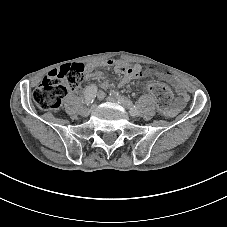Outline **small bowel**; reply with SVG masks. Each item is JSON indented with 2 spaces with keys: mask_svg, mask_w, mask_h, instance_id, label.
Returning a JSON list of instances; mask_svg holds the SVG:
<instances>
[{
  "mask_svg": "<svg viewBox=\"0 0 227 227\" xmlns=\"http://www.w3.org/2000/svg\"><path fill=\"white\" fill-rule=\"evenodd\" d=\"M101 66L113 67L115 72L122 77V82L140 77L143 71V66L139 64H129L122 60H104L97 63L88 64L86 66L87 75L96 79L100 83V85L104 88H110L114 86V84L109 83L105 79L104 73L100 69ZM151 71L157 76H159L160 78L169 82L175 88L178 94V99L174 107L169 110H165L164 113L169 116L176 114L183 107L184 103L189 98L182 83L169 73L160 72L154 68H151ZM99 96L100 97L102 96L101 92H99Z\"/></svg>",
  "mask_w": 227,
  "mask_h": 227,
  "instance_id": "1",
  "label": "small bowel"
}]
</instances>
